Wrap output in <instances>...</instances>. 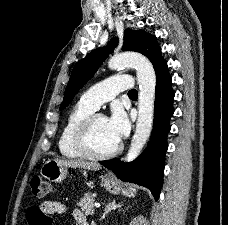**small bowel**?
I'll return each instance as SVG.
<instances>
[{
  "mask_svg": "<svg viewBox=\"0 0 228 225\" xmlns=\"http://www.w3.org/2000/svg\"><path fill=\"white\" fill-rule=\"evenodd\" d=\"M67 210L66 205L59 201H45L39 207H29L27 210V225H54L52 218H46V214H65ZM72 215L75 220L79 221L80 225L83 219L82 213L79 210H73Z\"/></svg>",
  "mask_w": 228,
  "mask_h": 225,
  "instance_id": "obj_1",
  "label": "small bowel"
}]
</instances>
